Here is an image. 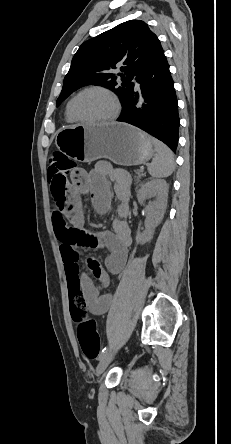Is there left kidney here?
Returning <instances> with one entry per match:
<instances>
[{
  "label": "left kidney",
  "instance_id": "1",
  "mask_svg": "<svg viewBox=\"0 0 231 444\" xmlns=\"http://www.w3.org/2000/svg\"><path fill=\"white\" fill-rule=\"evenodd\" d=\"M137 198L139 203L143 205L146 199L155 198L145 207L147 212L145 230L142 234L136 235V242L144 244L153 238L155 228L164 217L168 199V184L162 179L150 180L139 189Z\"/></svg>",
  "mask_w": 231,
  "mask_h": 444
}]
</instances>
